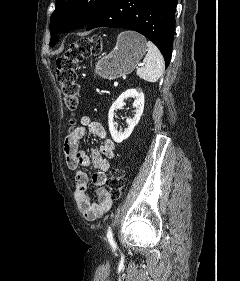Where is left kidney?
I'll return each instance as SVG.
<instances>
[{
	"label": "left kidney",
	"mask_w": 240,
	"mask_h": 281,
	"mask_svg": "<svg viewBox=\"0 0 240 281\" xmlns=\"http://www.w3.org/2000/svg\"><path fill=\"white\" fill-rule=\"evenodd\" d=\"M130 96L135 97L133 107L135 108L136 114L132 119L128 118L126 120L128 127L124 130V132H118L114 122L115 111L117 109H122L123 106L125 105L124 100ZM143 110H144V94L140 88L128 89L116 99V101L112 104L108 114L109 131L111 133L113 140L116 143H121L123 140L127 139L131 135L134 127L138 124L140 120Z\"/></svg>",
	"instance_id": "5707ae66"
}]
</instances>
